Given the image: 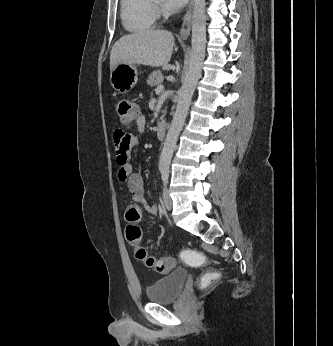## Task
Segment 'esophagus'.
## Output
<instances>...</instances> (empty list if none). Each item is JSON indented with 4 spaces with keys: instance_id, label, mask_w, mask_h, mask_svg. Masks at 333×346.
<instances>
[{
    "instance_id": "obj_1",
    "label": "esophagus",
    "mask_w": 333,
    "mask_h": 346,
    "mask_svg": "<svg viewBox=\"0 0 333 346\" xmlns=\"http://www.w3.org/2000/svg\"><path fill=\"white\" fill-rule=\"evenodd\" d=\"M192 7H193V0L190 1L188 10L183 19V24H182L180 35H179L181 40H187V38L190 35L191 23H192Z\"/></svg>"
}]
</instances>
